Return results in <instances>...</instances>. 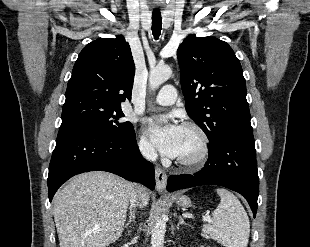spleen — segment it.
Here are the masks:
<instances>
[{
  "label": "spleen",
  "instance_id": "1",
  "mask_svg": "<svg viewBox=\"0 0 310 247\" xmlns=\"http://www.w3.org/2000/svg\"><path fill=\"white\" fill-rule=\"evenodd\" d=\"M221 201L212 213L213 220L203 226V232L226 247H247L250 235L248 215L238 198L230 191L216 190Z\"/></svg>",
  "mask_w": 310,
  "mask_h": 247
}]
</instances>
